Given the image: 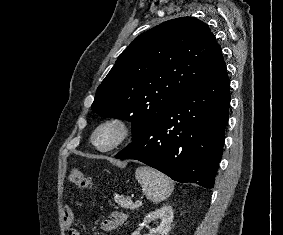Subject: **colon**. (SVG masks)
<instances>
[{
    "label": "colon",
    "mask_w": 283,
    "mask_h": 235,
    "mask_svg": "<svg viewBox=\"0 0 283 235\" xmlns=\"http://www.w3.org/2000/svg\"><path fill=\"white\" fill-rule=\"evenodd\" d=\"M70 181L82 189H87L91 186V180L81 170L72 169L70 172Z\"/></svg>",
    "instance_id": "1"
}]
</instances>
